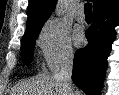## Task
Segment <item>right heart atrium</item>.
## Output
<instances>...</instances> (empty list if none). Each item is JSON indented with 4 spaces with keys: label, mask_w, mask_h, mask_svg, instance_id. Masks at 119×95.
<instances>
[{
    "label": "right heart atrium",
    "mask_w": 119,
    "mask_h": 95,
    "mask_svg": "<svg viewBox=\"0 0 119 95\" xmlns=\"http://www.w3.org/2000/svg\"><path fill=\"white\" fill-rule=\"evenodd\" d=\"M36 42L46 66L52 71L74 57L69 28L58 19H49L44 23Z\"/></svg>",
    "instance_id": "right-heart-atrium-1"
}]
</instances>
